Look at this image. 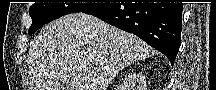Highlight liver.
Returning <instances> with one entry per match:
<instances>
[{
  "instance_id": "liver-1",
  "label": "liver",
  "mask_w": 216,
  "mask_h": 90,
  "mask_svg": "<svg viewBox=\"0 0 216 90\" xmlns=\"http://www.w3.org/2000/svg\"><path fill=\"white\" fill-rule=\"evenodd\" d=\"M152 52L137 36L94 16L68 14L31 42L29 90H107L116 74Z\"/></svg>"
}]
</instances>
